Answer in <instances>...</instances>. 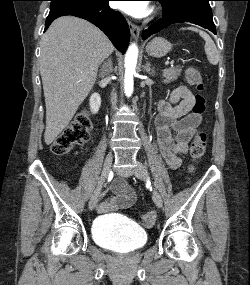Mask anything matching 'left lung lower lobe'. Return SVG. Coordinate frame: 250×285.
Returning <instances> with one entry per match:
<instances>
[{
	"label": "left lung lower lobe",
	"instance_id": "obj_1",
	"mask_svg": "<svg viewBox=\"0 0 250 285\" xmlns=\"http://www.w3.org/2000/svg\"><path fill=\"white\" fill-rule=\"evenodd\" d=\"M185 22H190L199 25L216 34L215 25L212 18V12L204 11L201 9H188L174 15L163 14V17L161 19H159L155 24L151 25L148 29H145L142 32V39L145 40L149 36L158 33L162 29L172 24Z\"/></svg>",
	"mask_w": 250,
	"mask_h": 285
}]
</instances>
